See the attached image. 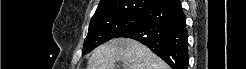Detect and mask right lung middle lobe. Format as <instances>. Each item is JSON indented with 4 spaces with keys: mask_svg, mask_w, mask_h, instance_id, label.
Instances as JSON below:
<instances>
[{
    "mask_svg": "<svg viewBox=\"0 0 246 69\" xmlns=\"http://www.w3.org/2000/svg\"><path fill=\"white\" fill-rule=\"evenodd\" d=\"M141 20L142 14H119L91 20L82 55L110 39L119 37L124 31L139 24Z\"/></svg>",
    "mask_w": 246,
    "mask_h": 69,
    "instance_id": "dd1d6c3e",
    "label": "right lung middle lobe"
}]
</instances>
